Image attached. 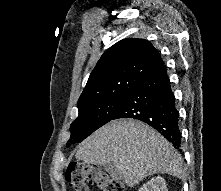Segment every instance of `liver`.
<instances>
[{
	"label": "liver",
	"mask_w": 221,
	"mask_h": 191,
	"mask_svg": "<svg viewBox=\"0 0 221 191\" xmlns=\"http://www.w3.org/2000/svg\"><path fill=\"white\" fill-rule=\"evenodd\" d=\"M76 159L94 165L113 164L129 187L153 174L182 178V158L160 133L133 119L114 120L79 146Z\"/></svg>",
	"instance_id": "liver-1"
}]
</instances>
